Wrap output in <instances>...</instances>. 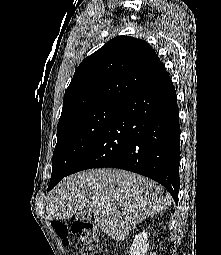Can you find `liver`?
<instances>
[{
    "label": "liver",
    "instance_id": "obj_1",
    "mask_svg": "<svg viewBox=\"0 0 221 255\" xmlns=\"http://www.w3.org/2000/svg\"><path fill=\"white\" fill-rule=\"evenodd\" d=\"M171 197L155 181L125 170L102 168L64 178L49 193L48 219L61 221L89 211L97 226L117 242L143 219L165 210Z\"/></svg>",
    "mask_w": 221,
    "mask_h": 255
}]
</instances>
